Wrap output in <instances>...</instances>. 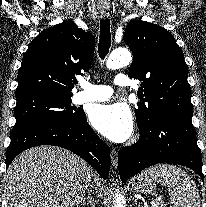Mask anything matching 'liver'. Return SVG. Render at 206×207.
Listing matches in <instances>:
<instances>
[{
	"instance_id": "liver-1",
	"label": "liver",
	"mask_w": 206,
	"mask_h": 207,
	"mask_svg": "<svg viewBox=\"0 0 206 207\" xmlns=\"http://www.w3.org/2000/svg\"><path fill=\"white\" fill-rule=\"evenodd\" d=\"M92 179L101 188L84 160L60 147L38 146L13 160L4 191L9 207H78Z\"/></svg>"
}]
</instances>
